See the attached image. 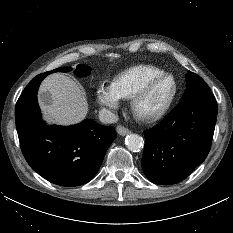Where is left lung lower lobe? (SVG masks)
<instances>
[{"label": "left lung lower lobe", "instance_id": "0a47b994", "mask_svg": "<svg viewBox=\"0 0 233 233\" xmlns=\"http://www.w3.org/2000/svg\"><path fill=\"white\" fill-rule=\"evenodd\" d=\"M217 119V102L211 92L180 103L156 126L144 132L142 169L159 185L176 184L207 157Z\"/></svg>", "mask_w": 233, "mask_h": 233}]
</instances>
